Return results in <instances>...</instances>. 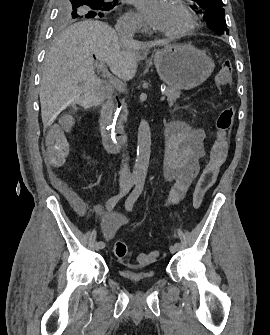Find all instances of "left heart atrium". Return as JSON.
Wrapping results in <instances>:
<instances>
[{
    "instance_id": "1",
    "label": "left heart atrium",
    "mask_w": 270,
    "mask_h": 335,
    "mask_svg": "<svg viewBox=\"0 0 270 335\" xmlns=\"http://www.w3.org/2000/svg\"><path fill=\"white\" fill-rule=\"evenodd\" d=\"M136 6L147 25L149 36L156 37L162 33H172V20L175 9L164 0H137Z\"/></svg>"
}]
</instances>
